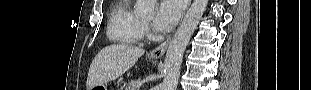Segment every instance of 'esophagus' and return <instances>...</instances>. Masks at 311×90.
Masks as SVG:
<instances>
[{"label": "esophagus", "mask_w": 311, "mask_h": 90, "mask_svg": "<svg viewBox=\"0 0 311 90\" xmlns=\"http://www.w3.org/2000/svg\"><path fill=\"white\" fill-rule=\"evenodd\" d=\"M190 3H191V0H188V6L190 5ZM170 41H171V38L169 37L163 43H161L158 47L153 49L150 52V57L155 58V59L161 58L165 54Z\"/></svg>", "instance_id": "1"}]
</instances>
